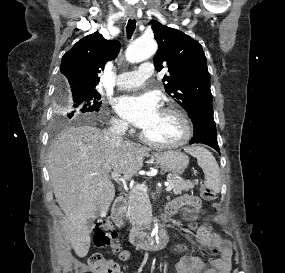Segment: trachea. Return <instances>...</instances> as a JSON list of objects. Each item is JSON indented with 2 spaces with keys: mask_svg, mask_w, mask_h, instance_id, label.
I'll list each match as a JSON object with an SVG mask.
<instances>
[{
  "mask_svg": "<svg viewBox=\"0 0 285 273\" xmlns=\"http://www.w3.org/2000/svg\"><path fill=\"white\" fill-rule=\"evenodd\" d=\"M136 29V20L135 19H129L127 26H126V32H127V36L131 37L132 34L134 33Z\"/></svg>",
  "mask_w": 285,
  "mask_h": 273,
  "instance_id": "3493384b",
  "label": "trachea"
}]
</instances>
